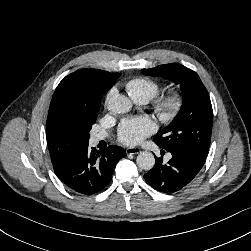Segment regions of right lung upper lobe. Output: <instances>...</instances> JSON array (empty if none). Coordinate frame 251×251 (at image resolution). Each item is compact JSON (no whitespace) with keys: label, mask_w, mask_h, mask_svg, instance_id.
I'll list each match as a JSON object with an SVG mask.
<instances>
[{"label":"right lung upper lobe","mask_w":251,"mask_h":251,"mask_svg":"<svg viewBox=\"0 0 251 251\" xmlns=\"http://www.w3.org/2000/svg\"><path fill=\"white\" fill-rule=\"evenodd\" d=\"M121 73L82 69L66 76L57 86L49 107L46 137L53 167L86 144L81 125L82 104L101 101Z\"/></svg>","instance_id":"obj_1"}]
</instances>
